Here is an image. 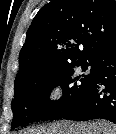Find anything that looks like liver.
<instances>
[{
    "instance_id": "liver-1",
    "label": "liver",
    "mask_w": 116,
    "mask_h": 134,
    "mask_svg": "<svg viewBox=\"0 0 116 134\" xmlns=\"http://www.w3.org/2000/svg\"><path fill=\"white\" fill-rule=\"evenodd\" d=\"M24 134H116V128L107 122L92 124L58 122L49 126L28 130Z\"/></svg>"
}]
</instances>
